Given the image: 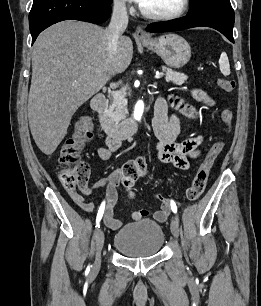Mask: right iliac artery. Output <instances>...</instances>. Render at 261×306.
I'll list each match as a JSON object with an SVG mask.
<instances>
[{"label":"right iliac artery","mask_w":261,"mask_h":306,"mask_svg":"<svg viewBox=\"0 0 261 306\" xmlns=\"http://www.w3.org/2000/svg\"><path fill=\"white\" fill-rule=\"evenodd\" d=\"M105 202H103L98 210L97 218H96V228H100V221L104 212Z\"/></svg>","instance_id":"1"}]
</instances>
